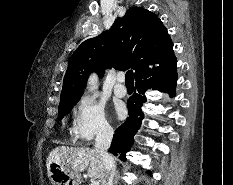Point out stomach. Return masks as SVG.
<instances>
[{
	"label": "stomach",
	"mask_w": 233,
	"mask_h": 185,
	"mask_svg": "<svg viewBox=\"0 0 233 185\" xmlns=\"http://www.w3.org/2000/svg\"><path fill=\"white\" fill-rule=\"evenodd\" d=\"M49 178L53 185H79L81 175L69 167L52 163L49 167Z\"/></svg>",
	"instance_id": "obj_1"
}]
</instances>
